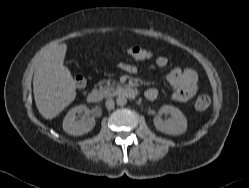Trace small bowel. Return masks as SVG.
I'll return each instance as SVG.
<instances>
[{
    "mask_svg": "<svg viewBox=\"0 0 249 188\" xmlns=\"http://www.w3.org/2000/svg\"><path fill=\"white\" fill-rule=\"evenodd\" d=\"M128 56L133 58L129 54ZM156 65L159 68L166 67L168 65V58L165 56L157 57ZM120 69L129 74H136L138 72L137 66L128 63L120 64ZM167 84L170 88L171 99L177 102H186L192 99L200 89L198 74L192 68L175 67L167 76ZM145 96L148 100L154 101L159 97V90L154 87L149 88L146 91Z\"/></svg>",
    "mask_w": 249,
    "mask_h": 188,
    "instance_id": "1",
    "label": "small bowel"
}]
</instances>
